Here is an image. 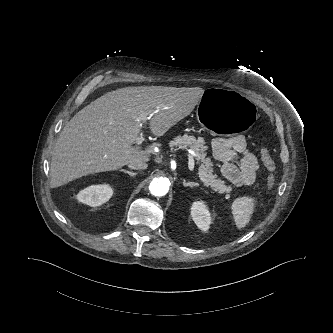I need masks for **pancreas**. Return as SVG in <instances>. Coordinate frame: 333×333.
<instances>
[{
  "label": "pancreas",
  "instance_id": "1",
  "mask_svg": "<svg viewBox=\"0 0 333 333\" xmlns=\"http://www.w3.org/2000/svg\"><path fill=\"white\" fill-rule=\"evenodd\" d=\"M170 144L179 148L190 147L195 151L197 161L200 162L198 175L206 186H210L214 189V191L219 193L231 192L232 188L230 186H226L224 181L217 179V175L213 174V163L209 157H206L205 151L207 150V147L204 145V140L202 138L196 139L194 136L185 134L183 136L176 137Z\"/></svg>",
  "mask_w": 333,
  "mask_h": 333
}]
</instances>
